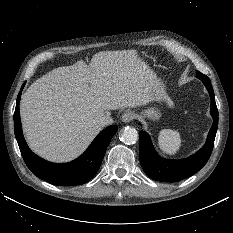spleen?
I'll return each instance as SVG.
<instances>
[{
  "instance_id": "spleen-1",
  "label": "spleen",
  "mask_w": 233,
  "mask_h": 233,
  "mask_svg": "<svg viewBox=\"0 0 233 233\" xmlns=\"http://www.w3.org/2000/svg\"><path fill=\"white\" fill-rule=\"evenodd\" d=\"M158 145L163 153L173 156L181 147V136L177 131L163 129L159 132Z\"/></svg>"
}]
</instances>
